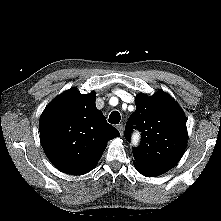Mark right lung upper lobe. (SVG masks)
Wrapping results in <instances>:
<instances>
[{
  "label": "right lung upper lobe",
  "mask_w": 221,
  "mask_h": 221,
  "mask_svg": "<svg viewBox=\"0 0 221 221\" xmlns=\"http://www.w3.org/2000/svg\"><path fill=\"white\" fill-rule=\"evenodd\" d=\"M40 140L60 171L83 175L98 163L107 142L120 136L95 106V93L69 89L57 96L40 117Z\"/></svg>",
  "instance_id": "1"
}]
</instances>
